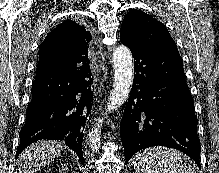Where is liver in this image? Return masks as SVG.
Returning <instances> with one entry per match:
<instances>
[{
	"label": "liver",
	"instance_id": "liver-1",
	"mask_svg": "<svg viewBox=\"0 0 219 173\" xmlns=\"http://www.w3.org/2000/svg\"><path fill=\"white\" fill-rule=\"evenodd\" d=\"M62 142L39 141L25 149L19 155V167L15 173H35L48 165L64 148Z\"/></svg>",
	"mask_w": 219,
	"mask_h": 173
}]
</instances>
